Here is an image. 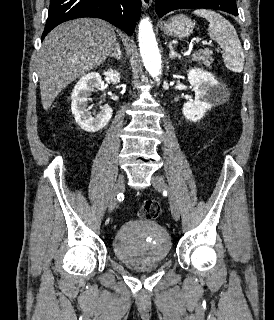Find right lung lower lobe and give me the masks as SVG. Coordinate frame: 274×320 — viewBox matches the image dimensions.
Wrapping results in <instances>:
<instances>
[{"mask_svg":"<svg viewBox=\"0 0 274 320\" xmlns=\"http://www.w3.org/2000/svg\"><path fill=\"white\" fill-rule=\"evenodd\" d=\"M140 7L141 0H51L42 40L57 25L82 17L104 19L131 35Z\"/></svg>","mask_w":274,"mask_h":320,"instance_id":"obj_1","label":"right lung lower lobe"}]
</instances>
